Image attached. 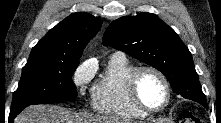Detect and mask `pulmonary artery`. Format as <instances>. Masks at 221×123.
<instances>
[{"label": "pulmonary artery", "instance_id": "1", "mask_svg": "<svg viewBox=\"0 0 221 123\" xmlns=\"http://www.w3.org/2000/svg\"><path fill=\"white\" fill-rule=\"evenodd\" d=\"M112 56H122L120 53H115Z\"/></svg>", "mask_w": 221, "mask_h": 123}]
</instances>
